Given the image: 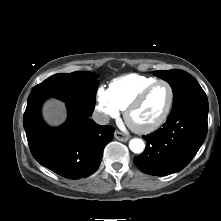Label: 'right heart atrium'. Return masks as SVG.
I'll list each match as a JSON object with an SVG mask.
<instances>
[{"label":"right heart atrium","instance_id":"obj_1","mask_svg":"<svg viewBox=\"0 0 221 221\" xmlns=\"http://www.w3.org/2000/svg\"><path fill=\"white\" fill-rule=\"evenodd\" d=\"M96 110L99 119L102 122L108 121L110 118H116L120 109L114 102L109 89L99 87L96 92Z\"/></svg>","mask_w":221,"mask_h":221}]
</instances>
